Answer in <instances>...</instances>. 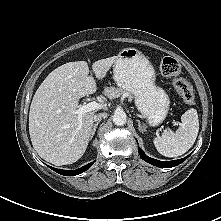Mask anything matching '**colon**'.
<instances>
[{
  "mask_svg": "<svg viewBox=\"0 0 221 221\" xmlns=\"http://www.w3.org/2000/svg\"><path fill=\"white\" fill-rule=\"evenodd\" d=\"M159 69L163 76L172 78L173 86L183 102L193 104L195 93L190 83L180 77L181 66L179 62L172 57H164L160 62Z\"/></svg>",
  "mask_w": 221,
  "mask_h": 221,
  "instance_id": "obj_1",
  "label": "colon"
}]
</instances>
